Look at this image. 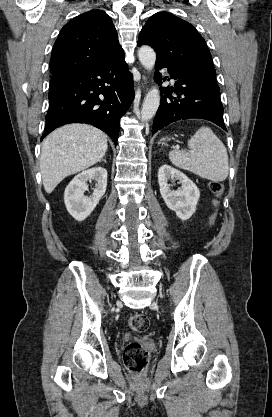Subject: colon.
<instances>
[{
    "label": "colon",
    "instance_id": "1",
    "mask_svg": "<svg viewBox=\"0 0 272 417\" xmlns=\"http://www.w3.org/2000/svg\"><path fill=\"white\" fill-rule=\"evenodd\" d=\"M210 189L216 198L213 201L214 211L209 216L207 226L211 227L216 218V210L219 207V198L222 196L224 186L220 182H212ZM128 327L134 332H144L149 326L148 318L143 314H133L128 318ZM124 363L127 369L135 376H140L148 363V352L140 342H130L124 350Z\"/></svg>",
    "mask_w": 272,
    "mask_h": 417
}]
</instances>
